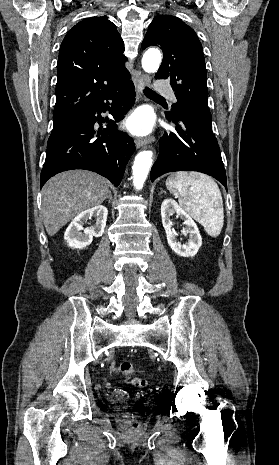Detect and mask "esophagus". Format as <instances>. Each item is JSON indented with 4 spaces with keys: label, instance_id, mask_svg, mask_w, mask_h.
Here are the masks:
<instances>
[{
    "label": "esophagus",
    "instance_id": "obj_1",
    "mask_svg": "<svg viewBox=\"0 0 279 465\" xmlns=\"http://www.w3.org/2000/svg\"><path fill=\"white\" fill-rule=\"evenodd\" d=\"M149 84H150V77L147 74L142 75L138 79V82L136 84V88H137L138 93L142 94L144 87L149 86ZM152 141H154L153 137H148V138H144V139L139 138V139H137L135 141V145H136L137 148H141V147L147 145L148 143H151Z\"/></svg>",
    "mask_w": 279,
    "mask_h": 465
}]
</instances>
